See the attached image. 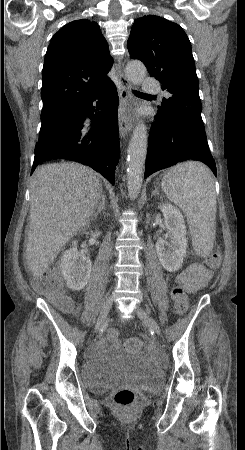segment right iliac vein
Listing matches in <instances>:
<instances>
[{
  "instance_id": "1",
  "label": "right iliac vein",
  "mask_w": 245,
  "mask_h": 450,
  "mask_svg": "<svg viewBox=\"0 0 245 450\" xmlns=\"http://www.w3.org/2000/svg\"><path fill=\"white\" fill-rule=\"evenodd\" d=\"M112 303H113V300L111 297L107 298L105 300V302L103 303L101 310H100L99 317H98L96 325H95V329H94L95 332H98L103 327V325L108 317V314L111 310Z\"/></svg>"
}]
</instances>
